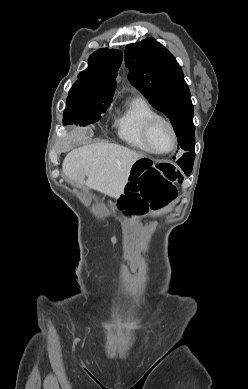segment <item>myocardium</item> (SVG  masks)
<instances>
[{"mask_svg":"<svg viewBox=\"0 0 248 389\" xmlns=\"http://www.w3.org/2000/svg\"><path fill=\"white\" fill-rule=\"evenodd\" d=\"M157 123H163L168 128L169 133H170L171 146L166 151L155 150L152 148V146L150 144V133H151L152 128ZM142 137H143V140H144L149 152L156 154V155H165V154L170 153L175 148L176 142H177L175 129H174L172 123L160 115H155L146 121V123L144 124L143 130H142Z\"/></svg>","mask_w":248,"mask_h":389,"instance_id":"1","label":"myocardium"}]
</instances>
